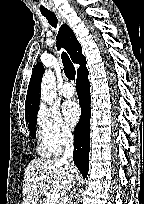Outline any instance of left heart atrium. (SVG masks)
<instances>
[{
	"instance_id": "39dd6f15",
	"label": "left heart atrium",
	"mask_w": 144,
	"mask_h": 204,
	"mask_svg": "<svg viewBox=\"0 0 144 204\" xmlns=\"http://www.w3.org/2000/svg\"><path fill=\"white\" fill-rule=\"evenodd\" d=\"M63 113L69 124L74 125L78 122L81 110L76 101L68 100L63 104Z\"/></svg>"
}]
</instances>
